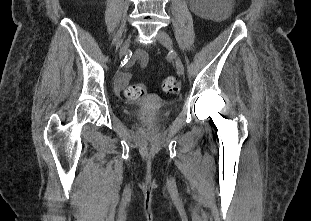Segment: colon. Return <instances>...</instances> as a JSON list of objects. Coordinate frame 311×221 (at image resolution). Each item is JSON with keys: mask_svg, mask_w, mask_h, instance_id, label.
<instances>
[{"mask_svg": "<svg viewBox=\"0 0 311 221\" xmlns=\"http://www.w3.org/2000/svg\"><path fill=\"white\" fill-rule=\"evenodd\" d=\"M146 87L144 85L129 86L125 90V96L132 99H141ZM160 90L165 94H175L179 91V82L175 77H167L160 84Z\"/></svg>", "mask_w": 311, "mask_h": 221, "instance_id": "colon-1", "label": "colon"}]
</instances>
